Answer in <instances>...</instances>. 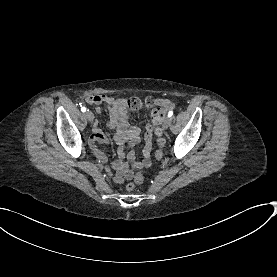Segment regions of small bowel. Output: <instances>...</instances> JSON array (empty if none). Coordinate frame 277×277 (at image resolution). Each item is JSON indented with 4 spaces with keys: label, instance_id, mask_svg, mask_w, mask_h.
Listing matches in <instances>:
<instances>
[{
    "label": "small bowel",
    "instance_id": "small-bowel-1",
    "mask_svg": "<svg viewBox=\"0 0 277 277\" xmlns=\"http://www.w3.org/2000/svg\"><path fill=\"white\" fill-rule=\"evenodd\" d=\"M88 98L87 100L91 105H95L97 104V102L100 104L107 103L109 112L108 126L110 129L115 131L114 138L116 142L120 145V151L118 154L119 159L114 163V169L116 170V173L113 176V180L117 183H122L132 177L133 170L149 167V155L152 147V136L154 131L151 128L150 123L146 124L145 126V147L143 150V158L141 160H137L134 156V153L130 152L129 160L132 166H129L123 161L124 148L128 145L132 146L139 142L140 130L136 126H130L128 122V112L126 108L127 101L123 98L107 97V95L105 94L98 96V98L95 96H91ZM155 104L157 106H160L165 113L171 110L173 107L172 101L166 98L157 99ZM106 139L107 138L104 133L99 129H96L91 139L89 140V144L91 147H95L96 142H104L106 141ZM96 155L102 162L106 161V163H110V165H113V162H110V160H106L102 152L96 151Z\"/></svg>",
    "mask_w": 277,
    "mask_h": 277
}]
</instances>
